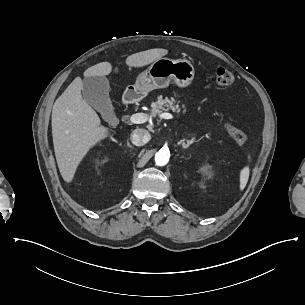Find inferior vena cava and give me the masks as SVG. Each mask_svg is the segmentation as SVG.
I'll return each mask as SVG.
<instances>
[{
	"label": "inferior vena cava",
	"instance_id": "602c4592",
	"mask_svg": "<svg viewBox=\"0 0 305 305\" xmlns=\"http://www.w3.org/2000/svg\"><path fill=\"white\" fill-rule=\"evenodd\" d=\"M150 134L144 129H136L131 133L130 140L135 146H142L150 140Z\"/></svg>",
	"mask_w": 305,
	"mask_h": 305
}]
</instances>
